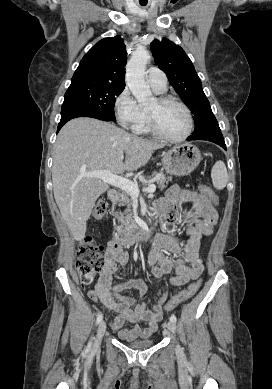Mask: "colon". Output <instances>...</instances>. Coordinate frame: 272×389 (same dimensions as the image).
Listing matches in <instances>:
<instances>
[{"instance_id":"5ec220e1","label":"colon","mask_w":272,"mask_h":389,"mask_svg":"<svg viewBox=\"0 0 272 389\" xmlns=\"http://www.w3.org/2000/svg\"><path fill=\"white\" fill-rule=\"evenodd\" d=\"M201 193L205 195L211 202L216 203V196L212 189L202 184L200 186ZM108 209V203L105 200H99L93 214L96 218H102ZM105 259L103 256V248L91 237L82 239L78 246L77 272L80 281L84 285H91L98 273L103 267ZM200 282L190 284L186 289L174 295L165 305L166 310L171 311L180 303L191 298L199 289Z\"/></svg>"}]
</instances>
